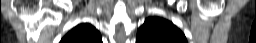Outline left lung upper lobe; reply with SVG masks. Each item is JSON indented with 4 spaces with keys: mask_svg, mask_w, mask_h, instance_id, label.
<instances>
[{
    "mask_svg": "<svg viewBox=\"0 0 256 43\" xmlns=\"http://www.w3.org/2000/svg\"><path fill=\"white\" fill-rule=\"evenodd\" d=\"M136 43H187V40L170 21L160 17H149L138 29Z\"/></svg>",
    "mask_w": 256,
    "mask_h": 43,
    "instance_id": "1",
    "label": "left lung upper lobe"
}]
</instances>
